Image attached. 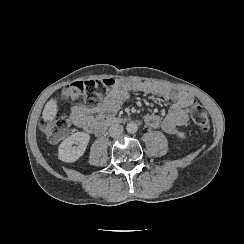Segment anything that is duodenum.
Masks as SVG:
<instances>
[{"mask_svg": "<svg viewBox=\"0 0 244 244\" xmlns=\"http://www.w3.org/2000/svg\"><path fill=\"white\" fill-rule=\"evenodd\" d=\"M113 122H115V120H114V119H112V120L110 121V123H109V124H111V123H113Z\"/></svg>", "mask_w": 244, "mask_h": 244, "instance_id": "obj_1", "label": "duodenum"}]
</instances>
